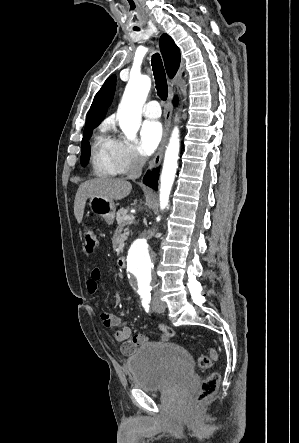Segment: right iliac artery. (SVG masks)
<instances>
[{"mask_svg":"<svg viewBox=\"0 0 299 443\" xmlns=\"http://www.w3.org/2000/svg\"><path fill=\"white\" fill-rule=\"evenodd\" d=\"M150 300H143L142 301V306L144 307V309L146 310V312H149V307H150Z\"/></svg>","mask_w":299,"mask_h":443,"instance_id":"right-iliac-artery-1","label":"right iliac artery"}]
</instances>
